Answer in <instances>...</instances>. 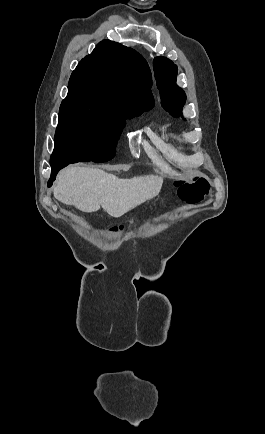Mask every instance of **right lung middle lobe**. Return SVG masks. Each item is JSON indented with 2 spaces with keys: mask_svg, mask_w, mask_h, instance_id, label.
I'll list each match as a JSON object with an SVG mask.
<instances>
[{
  "mask_svg": "<svg viewBox=\"0 0 265 434\" xmlns=\"http://www.w3.org/2000/svg\"><path fill=\"white\" fill-rule=\"evenodd\" d=\"M148 110L134 103L111 99L95 88H68V95L59 110L51 167L112 159L125 120Z\"/></svg>",
  "mask_w": 265,
  "mask_h": 434,
  "instance_id": "right-lung-middle-lobe-1",
  "label": "right lung middle lobe"
}]
</instances>
